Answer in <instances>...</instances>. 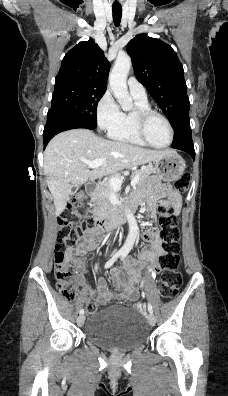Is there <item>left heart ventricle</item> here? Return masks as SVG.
Here are the masks:
<instances>
[{
    "label": "left heart ventricle",
    "mask_w": 228,
    "mask_h": 396,
    "mask_svg": "<svg viewBox=\"0 0 228 396\" xmlns=\"http://www.w3.org/2000/svg\"><path fill=\"white\" fill-rule=\"evenodd\" d=\"M146 133L150 142L157 146L166 145L170 138L166 123L158 116H152L148 120Z\"/></svg>",
    "instance_id": "left-heart-ventricle-1"
}]
</instances>
